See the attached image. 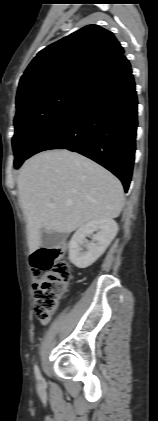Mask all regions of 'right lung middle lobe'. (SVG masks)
Returning a JSON list of instances; mask_svg holds the SVG:
<instances>
[{"label":"right lung middle lobe","mask_w":158,"mask_h":421,"mask_svg":"<svg viewBox=\"0 0 158 421\" xmlns=\"http://www.w3.org/2000/svg\"><path fill=\"white\" fill-rule=\"evenodd\" d=\"M84 85L65 84L33 93L16 102L12 145L18 169L42 135L67 109Z\"/></svg>","instance_id":"1"}]
</instances>
